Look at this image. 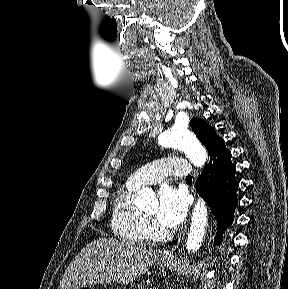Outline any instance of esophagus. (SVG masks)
Listing matches in <instances>:
<instances>
[{
	"label": "esophagus",
	"instance_id": "34e87169",
	"mask_svg": "<svg viewBox=\"0 0 288 289\" xmlns=\"http://www.w3.org/2000/svg\"><path fill=\"white\" fill-rule=\"evenodd\" d=\"M165 260H170L173 258V254L171 252H168L163 257Z\"/></svg>",
	"mask_w": 288,
	"mask_h": 289
}]
</instances>
